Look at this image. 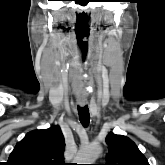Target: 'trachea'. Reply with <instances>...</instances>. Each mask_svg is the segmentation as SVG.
Masks as SVG:
<instances>
[{"label":"trachea","mask_w":165,"mask_h":165,"mask_svg":"<svg viewBox=\"0 0 165 165\" xmlns=\"http://www.w3.org/2000/svg\"><path fill=\"white\" fill-rule=\"evenodd\" d=\"M78 114L81 124L87 127L90 121L88 106H83V107L78 106Z\"/></svg>","instance_id":"trachea-1"}]
</instances>
